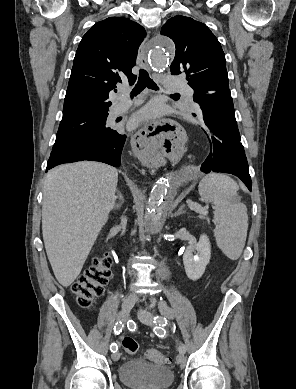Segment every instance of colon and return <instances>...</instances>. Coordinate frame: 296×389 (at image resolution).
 I'll return each mask as SVG.
<instances>
[{"mask_svg":"<svg viewBox=\"0 0 296 389\" xmlns=\"http://www.w3.org/2000/svg\"><path fill=\"white\" fill-rule=\"evenodd\" d=\"M112 258L108 253L94 258L92 265L71 285V293L82 308H90L99 297L111 278ZM123 349L129 354H136L139 345L132 337H124L121 341ZM148 360L168 364L170 357L157 349L146 352Z\"/></svg>","mask_w":296,"mask_h":389,"instance_id":"5ec220e1","label":"colon"}]
</instances>
